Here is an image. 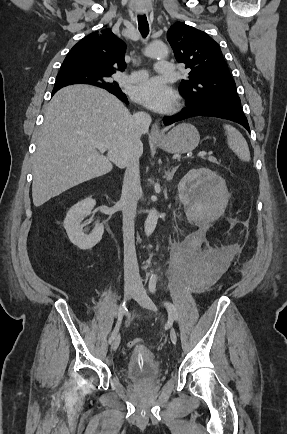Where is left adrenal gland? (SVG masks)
<instances>
[{"label": "left adrenal gland", "mask_w": 287, "mask_h": 434, "mask_svg": "<svg viewBox=\"0 0 287 434\" xmlns=\"http://www.w3.org/2000/svg\"><path fill=\"white\" fill-rule=\"evenodd\" d=\"M177 169H178V166L175 167V168H173L171 171H170V170H168V171L165 170V175H164V177H165L168 181H171V180L173 179V176H174V174H175V172H176Z\"/></svg>", "instance_id": "1"}]
</instances>
